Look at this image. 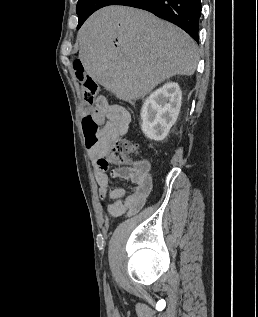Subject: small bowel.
<instances>
[{"label":"small bowel","instance_id":"1","mask_svg":"<svg viewBox=\"0 0 258 317\" xmlns=\"http://www.w3.org/2000/svg\"><path fill=\"white\" fill-rule=\"evenodd\" d=\"M93 110L102 116L104 123L101 143L89 149L100 198L112 200L107 208L111 217L133 215L144 206L152 192L151 163L146 159L129 160L127 163H117L119 167L108 172L110 164L116 163L108 156L110 146L114 140L127 133L131 115L124 107L110 104L102 96L97 98ZM113 179L128 180L131 187L128 190L113 188L110 184Z\"/></svg>","mask_w":258,"mask_h":317}]
</instances>
